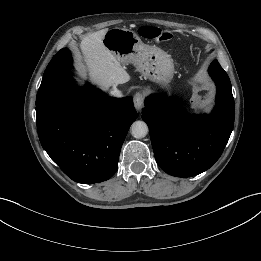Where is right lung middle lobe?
Masks as SVG:
<instances>
[{
	"label": "right lung middle lobe",
	"instance_id": "right-lung-middle-lobe-1",
	"mask_svg": "<svg viewBox=\"0 0 261 261\" xmlns=\"http://www.w3.org/2000/svg\"><path fill=\"white\" fill-rule=\"evenodd\" d=\"M72 68V57L67 48L61 49L48 64L39 87L37 98L42 96L60 77Z\"/></svg>",
	"mask_w": 261,
	"mask_h": 261
}]
</instances>
